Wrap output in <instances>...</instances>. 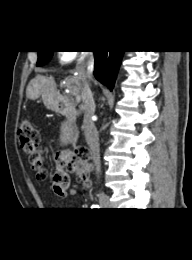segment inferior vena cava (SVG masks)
Listing matches in <instances>:
<instances>
[{"mask_svg": "<svg viewBox=\"0 0 192 260\" xmlns=\"http://www.w3.org/2000/svg\"><path fill=\"white\" fill-rule=\"evenodd\" d=\"M93 69H94L93 53L85 52L76 65V72L81 82L82 108L85 111L84 120H83L84 134H85L87 144L89 145L90 148L93 162L96 166V173L99 174L100 150H99V142H98V133L91 119V116L95 111V103L93 99V94L89 87Z\"/></svg>", "mask_w": 192, "mask_h": 260, "instance_id": "1", "label": "inferior vena cava"}]
</instances>
